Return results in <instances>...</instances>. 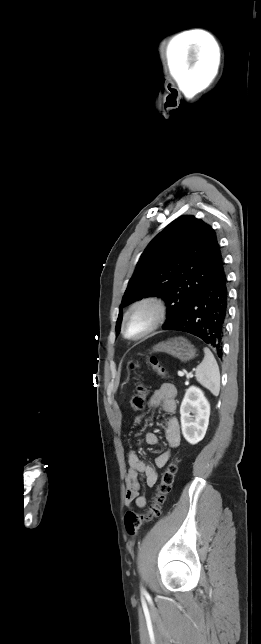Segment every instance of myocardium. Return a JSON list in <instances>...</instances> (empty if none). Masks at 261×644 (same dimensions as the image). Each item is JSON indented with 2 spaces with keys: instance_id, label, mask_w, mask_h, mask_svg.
<instances>
[{
  "instance_id": "obj_1",
  "label": "myocardium",
  "mask_w": 261,
  "mask_h": 644,
  "mask_svg": "<svg viewBox=\"0 0 261 644\" xmlns=\"http://www.w3.org/2000/svg\"><path fill=\"white\" fill-rule=\"evenodd\" d=\"M142 307H147L151 310L153 314L152 321L144 331H142L141 333L135 336H130L127 332L129 318L135 310ZM166 317H167V304L162 297L158 295L142 296L136 299L133 303H131V305L124 313L122 325H121L122 335L125 339L129 341H139L147 337L151 333H153L155 330H157L164 323V321L166 320Z\"/></svg>"
}]
</instances>
